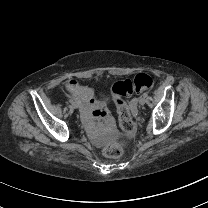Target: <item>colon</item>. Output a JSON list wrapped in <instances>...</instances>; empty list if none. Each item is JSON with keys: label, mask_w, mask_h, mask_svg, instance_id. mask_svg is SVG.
Instances as JSON below:
<instances>
[{"label": "colon", "mask_w": 208, "mask_h": 208, "mask_svg": "<svg viewBox=\"0 0 208 208\" xmlns=\"http://www.w3.org/2000/svg\"><path fill=\"white\" fill-rule=\"evenodd\" d=\"M153 84L152 77L147 74H137L133 78L119 80L113 84L112 95L116 104L120 124L125 133L132 134L136 130V125L132 122L129 114L127 98L134 93L150 89ZM103 153L106 158L115 160L120 157L122 148L119 143L110 141L105 144Z\"/></svg>", "instance_id": "colon-1"}]
</instances>
